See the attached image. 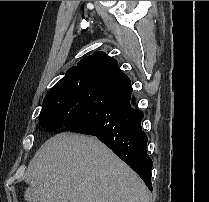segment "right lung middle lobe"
I'll return each instance as SVG.
<instances>
[{"label":"right lung middle lobe","mask_w":209,"mask_h":202,"mask_svg":"<svg viewBox=\"0 0 209 202\" xmlns=\"http://www.w3.org/2000/svg\"><path fill=\"white\" fill-rule=\"evenodd\" d=\"M90 79L88 74L64 78L48 91L39 115L43 130L50 132L63 127L65 120L78 109L81 91Z\"/></svg>","instance_id":"right-lung-middle-lobe-1"}]
</instances>
